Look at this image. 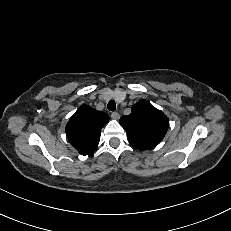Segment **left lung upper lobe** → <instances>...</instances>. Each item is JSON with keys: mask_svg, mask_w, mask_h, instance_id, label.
<instances>
[{"mask_svg": "<svg viewBox=\"0 0 231 231\" xmlns=\"http://www.w3.org/2000/svg\"><path fill=\"white\" fill-rule=\"evenodd\" d=\"M127 132L129 143L137 149L146 150L157 145L165 136L169 121L165 114L147 100H140L129 115L119 120Z\"/></svg>", "mask_w": 231, "mask_h": 231, "instance_id": "left-lung-upper-lobe-1", "label": "left lung upper lobe"}]
</instances>
